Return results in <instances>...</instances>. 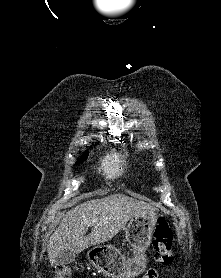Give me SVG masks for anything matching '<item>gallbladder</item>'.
<instances>
[{"label":"gallbladder","instance_id":"gallbladder-1","mask_svg":"<svg viewBox=\"0 0 221 278\" xmlns=\"http://www.w3.org/2000/svg\"><path fill=\"white\" fill-rule=\"evenodd\" d=\"M76 258H77V255L75 253L64 251L57 255V257L55 258L54 264L56 266L68 265V264H71L72 262H74Z\"/></svg>","mask_w":221,"mask_h":278}]
</instances>
